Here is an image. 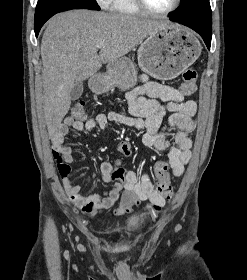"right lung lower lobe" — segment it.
<instances>
[{
	"instance_id": "obj_1",
	"label": "right lung lower lobe",
	"mask_w": 247,
	"mask_h": 280,
	"mask_svg": "<svg viewBox=\"0 0 247 280\" xmlns=\"http://www.w3.org/2000/svg\"><path fill=\"white\" fill-rule=\"evenodd\" d=\"M43 24H34V30H35L36 37L38 36L39 31H40L41 27L43 26Z\"/></svg>"
}]
</instances>
